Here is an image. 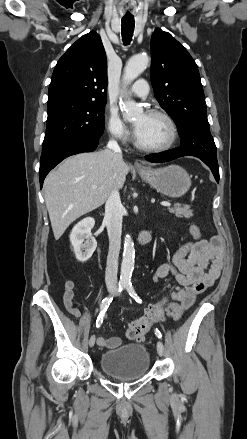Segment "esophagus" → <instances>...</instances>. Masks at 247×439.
<instances>
[{
	"instance_id": "1",
	"label": "esophagus",
	"mask_w": 247,
	"mask_h": 439,
	"mask_svg": "<svg viewBox=\"0 0 247 439\" xmlns=\"http://www.w3.org/2000/svg\"><path fill=\"white\" fill-rule=\"evenodd\" d=\"M135 167H136L137 169H143V168H144V165H143L142 163H140V162H135Z\"/></svg>"
}]
</instances>
